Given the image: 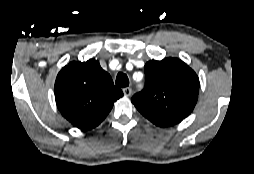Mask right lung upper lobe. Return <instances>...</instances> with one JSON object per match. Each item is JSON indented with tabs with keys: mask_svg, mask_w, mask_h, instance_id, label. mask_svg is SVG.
<instances>
[{
	"mask_svg": "<svg viewBox=\"0 0 254 174\" xmlns=\"http://www.w3.org/2000/svg\"><path fill=\"white\" fill-rule=\"evenodd\" d=\"M55 99L61 114L75 127L90 130L108 115L123 96L98 61L70 62L58 73Z\"/></svg>",
	"mask_w": 254,
	"mask_h": 174,
	"instance_id": "1",
	"label": "right lung upper lobe"
}]
</instances>
